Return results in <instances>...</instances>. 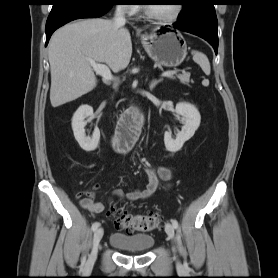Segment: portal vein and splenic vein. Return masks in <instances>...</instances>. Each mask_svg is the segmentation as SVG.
Wrapping results in <instances>:
<instances>
[{
	"instance_id": "1",
	"label": "portal vein and splenic vein",
	"mask_w": 278,
	"mask_h": 278,
	"mask_svg": "<svg viewBox=\"0 0 278 278\" xmlns=\"http://www.w3.org/2000/svg\"><path fill=\"white\" fill-rule=\"evenodd\" d=\"M89 63L93 67L94 71L97 74L101 75L105 80L110 81V80L113 79L111 71L106 65L96 63L93 60H89ZM176 73H177V70L166 71V72L162 73V77H170V76H172L173 74H176Z\"/></svg>"
}]
</instances>
